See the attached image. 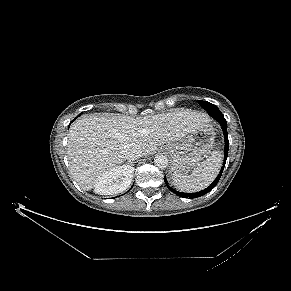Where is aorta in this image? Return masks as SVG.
Returning a JSON list of instances; mask_svg holds the SVG:
<instances>
[{
	"instance_id": "1",
	"label": "aorta",
	"mask_w": 291,
	"mask_h": 291,
	"mask_svg": "<svg viewBox=\"0 0 291 291\" xmlns=\"http://www.w3.org/2000/svg\"><path fill=\"white\" fill-rule=\"evenodd\" d=\"M154 163L158 168H166L168 165L167 157L164 155H156L154 158Z\"/></svg>"
}]
</instances>
